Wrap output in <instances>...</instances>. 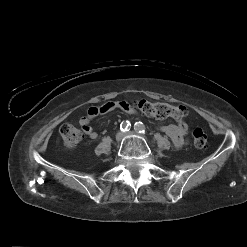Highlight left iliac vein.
Returning a JSON list of instances; mask_svg holds the SVG:
<instances>
[{
  "instance_id": "1",
  "label": "left iliac vein",
  "mask_w": 247,
  "mask_h": 247,
  "mask_svg": "<svg viewBox=\"0 0 247 247\" xmlns=\"http://www.w3.org/2000/svg\"><path fill=\"white\" fill-rule=\"evenodd\" d=\"M134 133L132 131H127L124 133L125 136H132Z\"/></svg>"
}]
</instances>
